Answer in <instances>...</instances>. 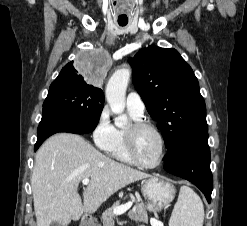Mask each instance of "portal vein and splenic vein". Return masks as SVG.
Returning a JSON list of instances; mask_svg holds the SVG:
<instances>
[{"label":"portal vein and splenic vein","instance_id":"portal-vein-and-splenic-vein-1","mask_svg":"<svg viewBox=\"0 0 247 226\" xmlns=\"http://www.w3.org/2000/svg\"><path fill=\"white\" fill-rule=\"evenodd\" d=\"M89 182H90L89 179H83V180H82V184H83V185H88ZM131 206H132V202H127V203H125V204H123V205H121V206H118V207H116V208L114 209V214H115V215L123 214V213H125L127 210H129Z\"/></svg>","mask_w":247,"mask_h":226}]
</instances>
